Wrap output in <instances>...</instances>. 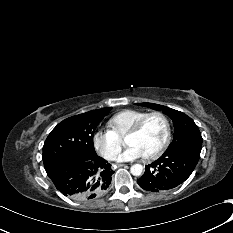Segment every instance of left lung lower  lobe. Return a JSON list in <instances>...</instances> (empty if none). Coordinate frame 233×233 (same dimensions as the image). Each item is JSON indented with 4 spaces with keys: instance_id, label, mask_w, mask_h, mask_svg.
Returning a JSON list of instances; mask_svg holds the SVG:
<instances>
[{
    "instance_id": "left-lung-lower-lobe-1",
    "label": "left lung lower lobe",
    "mask_w": 233,
    "mask_h": 233,
    "mask_svg": "<svg viewBox=\"0 0 233 233\" xmlns=\"http://www.w3.org/2000/svg\"><path fill=\"white\" fill-rule=\"evenodd\" d=\"M199 158L200 153L192 150L165 151L159 159L146 165L144 175L137 183L144 190L151 192L173 189L188 179Z\"/></svg>"
}]
</instances>
